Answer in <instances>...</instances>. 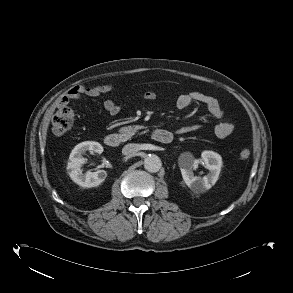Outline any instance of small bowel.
<instances>
[{
	"mask_svg": "<svg viewBox=\"0 0 293 293\" xmlns=\"http://www.w3.org/2000/svg\"><path fill=\"white\" fill-rule=\"evenodd\" d=\"M114 90L112 84L101 85H77L72 87L67 93L59 100L58 106H68L72 101L80 100L84 97H100L104 94L110 93ZM156 98V92L152 89L144 92L140 99L144 101H152ZM201 103L205 105L209 113L217 120L214 126V133L218 138L224 139L229 137L235 129V125L232 120L224 116L223 109L219 101L210 95H207L200 91H192L187 94H182L177 98L176 106L179 109H186L193 103ZM105 111L111 115H117L121 106L112 99H106L103 103ZM201 129L198 124L184 126L178 130V134H186L195 132Z\"/></svg>",
	"mask_w": 293,
	"mask_h": 293,
	"instance_id": "small-bowel-1",
	"label": "small bowel"
}]
</instances>
